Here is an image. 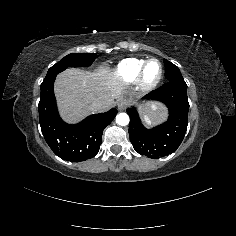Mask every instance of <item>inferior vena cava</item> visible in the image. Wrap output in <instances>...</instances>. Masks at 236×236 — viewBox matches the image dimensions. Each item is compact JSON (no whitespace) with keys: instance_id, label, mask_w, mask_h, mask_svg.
I'll use <instances>...</instances> for the list:
<instances>
[{"instance_id":"obj_1","label":"inferior vena cava","mask_w":236,"mask_h":236,"mask_svg":"<svg viewBox=\"0 0 236 236\" xmlns=\"http://www.w3.org/2000/svg\"><path fill=\"white\" fill-rule=\"evenodd\" d=\"M103 107V102L100 100H93L89 105L88 108L91 111H98Z\"/></svg>"}]
</instances>
